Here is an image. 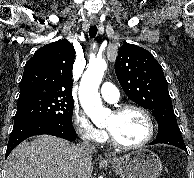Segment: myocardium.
<instances>
[{
    "label": "myocardium",
    "mask_w": 194,
    "mask_h": 178,
    "mask_svg": "<svg viewBox=\"0 0 194 178\" xmlns=\"http://www.w3.org/2000/svg\"><path fill=\"white\" fill-rule=\"evenodd\" d=\"M130 110H135L140 112L146 119L147 123H148V134L145 137V139H143L141 142L136 143V144H125L120 142L115 135L112 133L111 130H109L108 128H106L107 130V134H108V138L110 140V142L121 149H137V148H141L144 147L145 145H147L154 137L155 134V123L153 120L152 115L150 114V112L145 109L142 106L139 105H135V104H129V105H123V106H119L116 109H114L113 113L116 115H120L123 114L127 111Z\"/></svg>",
    "instance_id": "1"
}]
</instances>
